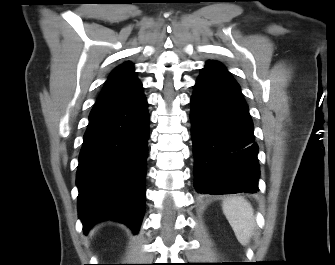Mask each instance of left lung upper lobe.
I'll return each instance as SVG.
<instances>
[{
	"instance_id": "5c2ea615",
	"label": "left lung upper lobe",
	"mask_w": 335,
	"mask_h": 265,
	"mask_svg": "<svg viewBox=\"0 0 335 265\" xmlns=\"http://www.w3.org/2000/svg\"><path fill=\"white\" fill-rule=\"evenodd\" d=\"M208 63H211V64H221V63H219L217 61H209Z\"/></svg>"
}]
</instances>
